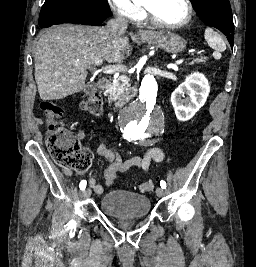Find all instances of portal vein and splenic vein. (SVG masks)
<instances>
[{
	"instance_id": "18ae733b",
	"label": "portal vein and splenic vein",
	"mask_w": 256,
	"mask_h": 267,
	"mask_svg": "<svg viewBox=\"0 0 256 267\" xmlns=\"http://www.w3.org/2000/svg\"><path fill=\"white\" fill-rule=\"evenodd\" d=\"M174 66H179L182 63L181 59H177L176 61H173ZM95 66H101L102 60H96L94 62ZM104 74H118L119 72H125L124 66H105V68H102ZM127 71V70H126Z\"/></svg>"
}]
</instances>
